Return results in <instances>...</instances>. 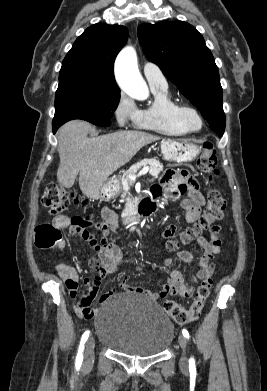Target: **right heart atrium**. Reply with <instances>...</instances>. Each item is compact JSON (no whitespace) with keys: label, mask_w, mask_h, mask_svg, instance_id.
I'll use <instances>...</instances> for the list:
<instances>
[{"label":"right heart atrium","mask_w":267,"mask_h":391,"mask_svg":"<svg viewBox=\"0 0 267 391\" xmlns=\"http://www.w3.org/2000/svg\"><path fill=\"white\" fill-rule=\"evenodd\" d=\"M113 115L117 124L120 127H124L130 123H136L139 109L131 98L121 94L113 109Z\"/></svg>","instance_id":"obj_1"}]
</instances>
